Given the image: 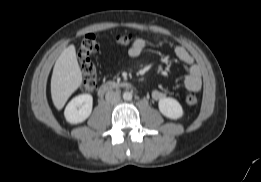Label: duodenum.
Returning <instances> with one entry per match:
<instances>
[{"instance_id":"1","label":"duodenum","mask_w":261,"mask_h":182,"mask_svg":"<svg viewBox=\"0 0 261 182\" xmlns=\"http://www.w3.org/2000/svg\"><path fill=\"white\" fill-rule=\"evenodd\" d=\"M123 86H126V85L123 83H118V82H106L99 86V88L97 90V94L99 97H102L105 94H107L109 91L116 89V88L123 87Z\"/></svg>"}]
</instances>
